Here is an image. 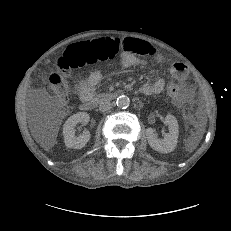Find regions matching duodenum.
Instances as JSON below:
<instances>
[{
	"instance_id": "1",
	"label": "duodenum",
	"mask_w": 231,
	"mask_h": 231,
	"mask_svg": "<svg viewBox=\"0 0 231 231\" xmlns=\"http://www.w3.org/2000/svg\"><path fill=\"white\" fill-rule=\"evenodd\" d=\"M118 97L117 92H108L98 95L95 98H88L82 101V108L85 110H92L96 107L97 104L104 101H112Z\"/></svg>"
}]
</instances>
